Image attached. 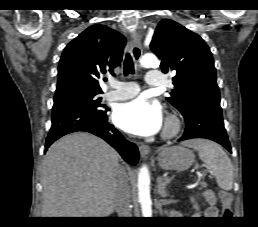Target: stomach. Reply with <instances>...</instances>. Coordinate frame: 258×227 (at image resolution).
<instances>
[{
	"label": "stomach",
	"instance_id": "stomach-1",
	"mask_svg": "<svg viewBox=\"0 0 258 227\" xmlns=\"http://www.w3.org/2000/svg\"><path fill=\"white\" fill-rule=\"evenodd\" d=\"M158 165L164 170L183 171L190 168L194 161L193 151L182 147L172 146L162 149L157 157Z\"/></svg>",
	"mask_w": 258,
	"mask_h": 227
}]
</instances>
